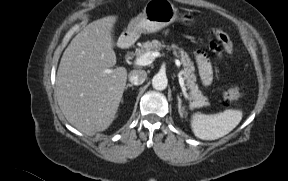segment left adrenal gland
<instances>
[{
  "label": "left adrenal gland",
  "instance_id": "left-adrenal-gland-1",
  "mask_svg": "<svg viewBox=\"0 0 288 181\" xmlns=\"http://www.w3.org/2000/svg\"><path fill=\"white\" fill-rule=\"evenodd\" d=\"M177 99H178V112H179L180 116H183L185 109H184V107H182V101H181L179 96H177Z\"/></svg>",
  "mask_w": 288,
  "mask_h": 181
}]
</instances>
